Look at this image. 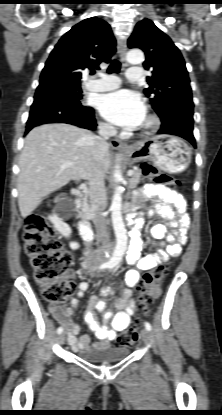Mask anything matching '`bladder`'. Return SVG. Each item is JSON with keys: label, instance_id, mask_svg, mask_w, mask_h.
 <instances>
[{"label": "bladder", "instance_id": "bladder-1", "mask_svg": "<svg viewBox=\"0 0 222 415\" xmlns=\"http://www.w3.org/2000/svg\"><path fill=\"white\" fill-rule=\"evenodd\" d=\"M130 355V349L125 347H108L103 349H90L77 352L78 358L94 364H107L118 362Z\"/></svg>", "mask_w": 222, "mask_h": 415}]
</instances>
